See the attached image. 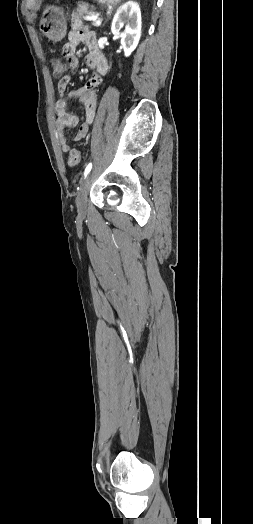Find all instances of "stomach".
I'll list each match as a JSON object with an SVG mask.
<instances>
[{"label": "stomach", "instance_id": "1", "mask_svg": "<svg viewBox=\"0 0 253 524\" xmlns=\"http://www.w3.org/2000/svg\"><path fill=\"white\" fill-rule=\"evenodd\" d=\"M121 0H97L98 3L106 6L117 5ZM67 24L64 10L56 6L45 8L40 20V31L49 40L58 42L66 34Z\"/></svg>", "mask_w": 253, "mask_h": 524}]
</instances>
